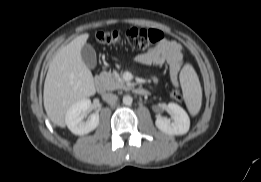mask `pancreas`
Returning <instances> with one entry per match:
<instances>
[{
	"label": "pancreas",
	"instance_id": "obj_1",
	"mask_svg": "<svg viewBox=\"0 0 261 182\" xmlns=\"http://www.w3.org/2000/svg\"><path fill=\"white\" fill-rule=\"evenodd\" d=\"M100 78L103 81L104 87L107 90L113 91L116 89H127L124 81L119 77L117 73L101 72Z\"/></svg>",
	"mask_w": 261,
	"mask_h": 182
}]
</instances>
